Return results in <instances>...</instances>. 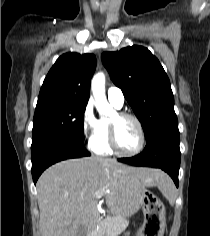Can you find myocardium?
<instances>
[{"mask_svg": "<svg viewBox=\"0 0 210 236\" xmlns=\"http://www.w3.org/2000/svg\"><path fill=\"white\" fill-rule=\"evenodd\" d=\"M124 118H129V119H132L133 121H135V123L137 124L138 130H139V134H140L139 145L135 150H133L131 152L123 151L119 147L118 141H117L116 121L119 119H124ZM109 143H110V147L112 148L113 152L116 153L117 155L124 156V157H132V156L138 155L143 150L145 143H146V134H145V130H144L143 124L140 121V119L136 115L129 113V112L116 113L115 118H111L109 120Z\"/></svg>", "mask_w": 210, "mask_h": 236, "instance_id": "obj_1", "label": "myocardium"}]
</instances>
